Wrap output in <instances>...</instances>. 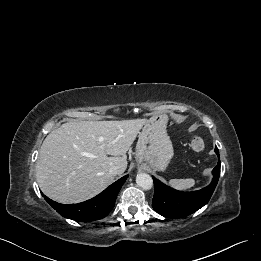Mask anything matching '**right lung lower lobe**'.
Wrapping results in <instances>:
<instances>
[{"label":"right lung lower lobe","mask_w":261,"mask_h":261,"mask_svg":"<svg viewBox=\"0 0 261 261\" xmlns=\"http://www.w3.org/2000/svg\"><path fill=\"white\" fill-rule=\"evenodd\" d=\"M127 175L120 178L96 197L82 203L65 205L50 200H45L63 217L81 222L94 221L104 218L114 207L116 197Z\"/></svg>","instance_id":"right-lung-lower-lobe-1"}]
</instances>
